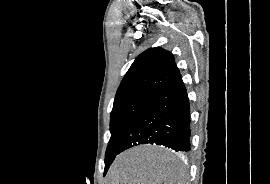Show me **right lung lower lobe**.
Returning a JSON list of instances; mask_svg holds the SVG:
<instances>
[{
    "label": "right lung lower lobe",
    "instance_id": "obj_1",
    "mask_svg": "<svg viewBox=\"0 0 270 184\" xmlns=\"http://www.w3.org/2000/svg\"><path fill=\"white\" fill-rule=\"evenodd\" d=\"M190 106L179 74L152 94L135 118L119 153L139 144L163 145L188 152L190 143Z\"/></svg>",
    "mask_w": 270,
    "mask_h": 184
}]
</instances>
